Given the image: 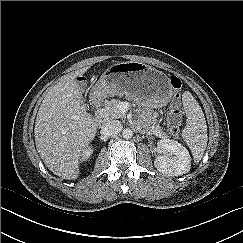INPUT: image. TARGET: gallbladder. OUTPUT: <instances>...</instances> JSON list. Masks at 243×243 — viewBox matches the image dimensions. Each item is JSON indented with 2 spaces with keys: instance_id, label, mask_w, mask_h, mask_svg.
Wrapping results in <instances>:
<instances>
[{
  "instance_id": "obj_1",
  "label": "gallbladder",
  "mask_w": 243,
  "mask_h": 243,
  "mask_svg": "<svg viewBox=\"0 0 243 243\" xmlns=\"http://www.w3.org/2000/svg\"><path fill=\"white\" fill-rule=\"evenodd\" d=\"M85 106V108L87 109L88 105L87 104H83Z\"/></svg>"
}]
</instances>
